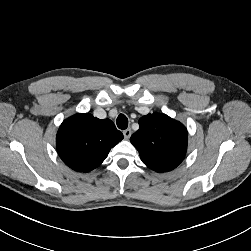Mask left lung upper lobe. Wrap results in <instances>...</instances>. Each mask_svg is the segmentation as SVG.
<instances>
[{
  "label": "left lung upper lobe",
  "mask_w": 251,
  "mask_h": 251,
  "mask_svg": "<svg viewBox=\"0 0 251 251\" xmlns=\"http://www.w3.org/2000/svg\"><path fill=\"white\" fill-rule=\"evenodd\" d=\"M139 130L130 138L142 162L156 172H168L184 159L187 150L185 126L165 114L140 118Z\"/></svg>",
  "instance_id": "5c2ea615"
}]
</instances>
